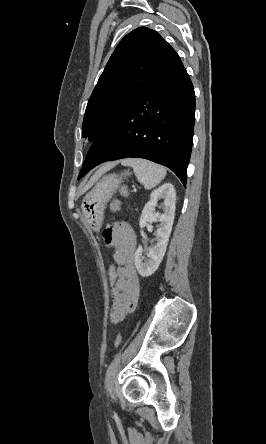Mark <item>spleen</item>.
<instances>
[{
    "label": "spleen",
    "instance_id": "1",
    "mask_svg": "<svg viewBox=\"0 0 266 444\" xmlns=\"http://www.w3.org/2000/svg\"><path fill=\"white\" fill-rule=\"evenodd\" d=\"M122 165L131 166L137 180L150 190L157 186L166 176V169L149 160L142 158H127L122 160Z\"/></svg>",
    "mask_w": 266,
    "mask_h": 444
}]
</instances>
